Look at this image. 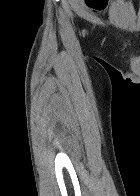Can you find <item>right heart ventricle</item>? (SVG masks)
Returning <instances> with one entry per match:
<instances>
[{
	"label": "right heart ventricle",
	"instance_id": "e07e8e85",
	"mask_svg": "<svg viewBox=\"0 0 140 196\" xmlns=\"http://www.w3.org/2000/svg\"><path fill=\"white\" fill-rule=\"evenodd\" d=\"M91 192H112V191H91Z\"/></svg>",
	"mask_w": 140,
	"mask_h": 196
}]
</instances>
